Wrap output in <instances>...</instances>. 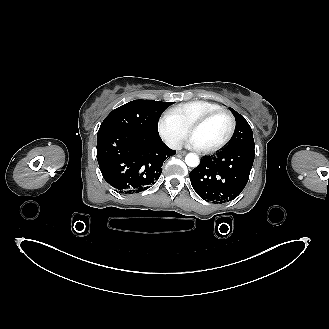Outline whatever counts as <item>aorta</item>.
<instances>
[{"instance_id":"obj_1","label":"aorta","mask_w":329,"mask_h":329,"mask_svg":"<svg viewBox=\"0 0 329 329\" xmlns=\"http://www.w3.org/2000/svg\"><path fill=\"white\" fill-rule=\"evenodd\" d=\"M185 163L189 166V167H197L200 163V159L198 157L197 154L195 153H189L186 155L185 157Z\"/></svg>"}]
</instances>
